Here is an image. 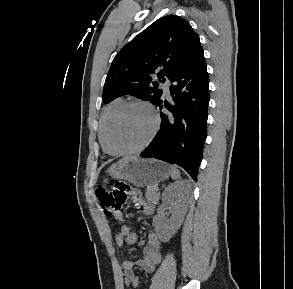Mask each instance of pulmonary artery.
<instances>
[{
	"label": "pulmonary artery",
	"mask_w": 293,
	"mask_h": 289,
	"mask_svg": "<svg viewBox=\"0 0 293 289\" xmlns=\"http://www.w3.org/2000/svg\"><path fill=\"white\" fill-rule=\"evenodd\" d=\"M163 91H164L165 95H167V96L170 94L169 82L168 81H166L163 84Z\"/></svg>",
	"instance_id": "1"
}]
</instances>
